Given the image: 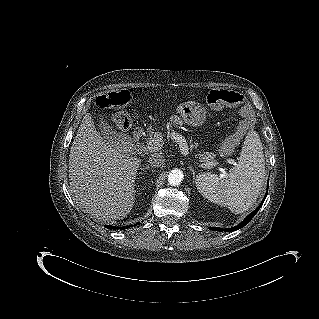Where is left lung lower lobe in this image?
Listing matches in <instances>:
<instances>
[{
	"mask_svg": "<svg viewBox=\"0 0 319 319\" xmlns=\"http://www.w3.org/2000/svg\"><path fill=\"white\" fill-rule=\"evenodd\" d=\"M267 193H268V191H267ZM267 193H266L265 198L263 199L262 203L258 206V208L255 211H253L247 218H245V220L243 222H241L239 225H237L233 228L225 229L224 231H227V232L228 231H235V230H238V229L244 227L255 216V214L259 211V209L261 208V206L263 205V203L266 199ZM209 229L214 230V231H223V229L215 228V227H209Z\"/></svg>",
	"mask_w": 319,
	"mask_h": 319,
	"instance_id": "obj_1",
	"label": "left lung lower lobe"
}]
</instances>
